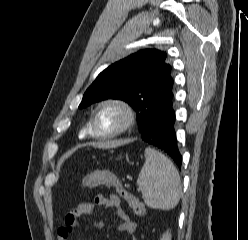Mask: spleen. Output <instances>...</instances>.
Segmentation results:
<instances>
[{
  "label": "spleen",
  "mask_w": 248,
  "mask_h": 240,
  "mask_svg": "<svg viewBox=\"0 0 248 240\" xmlns=\"http://www.w3.org/2000/svg\"><path fill=\"white\" fill-rule=\"evenodd\" d=\"M145 158L137 185L146 205L161 210L174 208L182 194L178 170L168 157L150 147L145 149Z\"/></svg>",
  "instance_id": "1"
}]
</instances>
